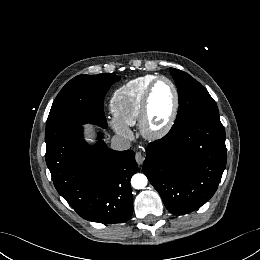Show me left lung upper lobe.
Listing matches in <instances>:
<instances>
[{
	"instance_id": "1",
	"label": "left lung upper lobe",
	"mask_w": 260,
	"mask_h": 260,
	"mask_svg": "<svg viewBox=\"0 0 260 260\" xmlns=\"http://www.w3.org/2000/svg\"><path fill=\"white\" fill-rule=\"evenodd\" d=\"M170 72L179 94V109L173 128L198 114L219 113L215 101L199 82L181 70L170 68Z\"/></svg>"
}]
</instances>
